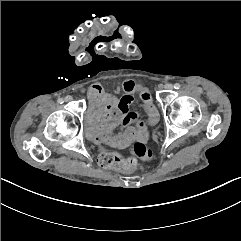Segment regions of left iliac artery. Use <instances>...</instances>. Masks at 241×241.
Wrapping results in <instances>:
<instances>
[{"label":"left iliac artery","instance_id":"1","mask_svg":"<svg viewBox=\"0 0 241 241\" xmlns=\"http://www.w3.org/2000/svg\"><path fill=\"white\" fill-rule=\"evenodd\" d=\"M180 87H181V86H180L179 83H175V84H174V88H175V89H179Z\"/></svg>","mask_w":241,"mask_h":241}]
</instances>
